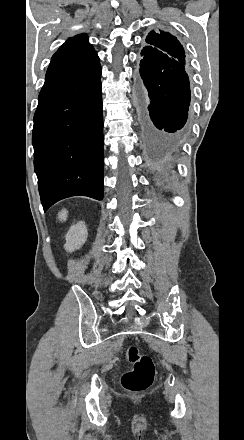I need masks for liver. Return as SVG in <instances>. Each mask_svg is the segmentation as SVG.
I'll use <instances>...</instances> for the list:
<instances>
[{
  "instance_id": "1",
  "label": "liver",
  "mask_w": 244,
  "mask_h": 440,
  "mask_svg": "<svg viewBox=\"0 0 244 440\" xmlns=\"http://www.w3.org/2000/svg\"><path fill=\"white\" fill-rule=\"evenodd\" d=\"M67 210H62V212H59L58 214V218L60 220V222H65V220H67Z\"/></svg>"
}]
</instances>
